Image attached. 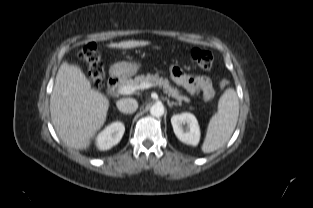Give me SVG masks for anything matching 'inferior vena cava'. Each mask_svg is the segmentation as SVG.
I'll list each match as a JSON object with an SVG mask.
<instances>
[{
  "label": "inferior vena cava",
  "instance_id": "1",
  "mask_svg": "<svg viewBox=\"0 0 313 208\" xmlns=\"http://www.w3.org/2000/svg\"><path fill=\"white\" fill-rule=\"evenodd\" d=\"M117 108L120 112L125 114L134 113L138 108V103L133 98H123L117 101Z\"/></svg>",
  "mask_w": 313,
  "mask_h": 208
}]
</instances>
